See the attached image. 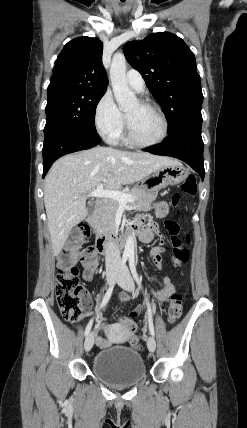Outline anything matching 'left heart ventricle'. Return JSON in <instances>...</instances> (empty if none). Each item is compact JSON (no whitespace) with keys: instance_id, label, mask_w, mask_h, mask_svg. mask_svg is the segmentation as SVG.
<instances>
[{"instance_id":"left-heart-ventricle-1","label":"left heart ventricle","mask_w":247,"mask_h":428,"mask_svg":"<svg viewBox=\"0 0 247 428\" xmlns=\"http://www.w3.org/2000/svg\"><path fill=\"white\" fill-rule=\"evenodd\" d=\"M125 116L135 137L141 141H154L162 133V123L158 115L137 101L125 109Z\"/></svg>"}]
</instances>
